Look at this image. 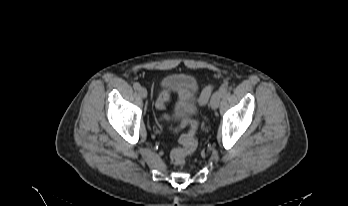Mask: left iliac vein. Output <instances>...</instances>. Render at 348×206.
Instances as JSON below:
<instances>
[{"instance_id":"left-iliac-vein-1","label":"left iliac vein","mask_w":348,"mask_h":206,"mask_svg":"<svg viewBox=\"0 0 348 206\" xmlns=\"http://www.w3.org/2000/svg\"><path fill=\"white\" fill-rule=\"evenodd\" d=\"M220 99H221L220 91L215 92L211 98V103H210L212 109L215 110L218 108Z\"/></svg>"}]
</instances>
